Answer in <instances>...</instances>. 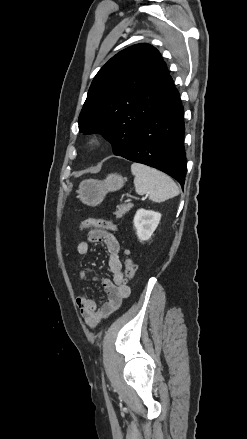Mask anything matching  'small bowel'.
I'll use <instances>...</instances> for the list:
<instances>
[{
  "label": "small bowel",
  "mask_w": 247,
  "mask_h": 439,
  "mask_svg": "<svg viewBox=\"0 0 247 439\" xmlns=\"http://www.w3.org/2000/svg\"><path fill=\"white\" fill-rule=\"evenodd\" d=\"M89 243H103L106 246L108 254V267L112 275L111 279H102L107 298L100 305L95 301L84 296L76 299L80 314L86 324L90 327H96L103 319L110 316L116 311L124 298L130 294L129 287L125 284L122 261L120 257V244L118 239L109 231L102 229H93L87 236ZM88 242H80L77 245V253L86 256L89 251ZM90 277L97 280L92 275L90 268H85L80 272V279L86 280Z\"/></svg>",
  "instance_id": "c3829d8e"
}]
</instances>
